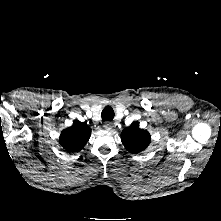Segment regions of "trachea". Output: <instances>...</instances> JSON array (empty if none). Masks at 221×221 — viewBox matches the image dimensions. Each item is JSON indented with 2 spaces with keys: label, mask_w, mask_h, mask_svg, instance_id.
Returning <instances> with one entry per match:
<instances>
[{
  "label": "trachea",
  "mask_w": 221,
  "mask_h": 221,
  "mask_svg": "<svg viewBox=\"0 0 221 221\" xmlns=\"http://www.w3.org/2000/svg\"><path fill=\"white\" fill-rule=\"evenodd\" d=\"M103 120H112L114 118V111L110 106H106L102 111Z\"/></svg>",
  "instance_id": "trachea-1"
}]
</instances>
